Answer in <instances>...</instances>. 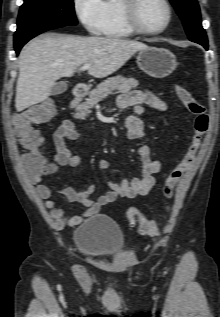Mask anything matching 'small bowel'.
Wrapping results in <instances>:
<instances>
[{
  "label": "small bowel",
  "mask_w": 220,
  "mask_h": 317,
  "mask_svg": "<svg viewBox=\"0 0 220 317\" xmlns=\"http://www.w3.org/2000/svg\"><path fill=\"white\" fill-rule=\"evenodd\" d=\"M144 105L159 111L166 109L165 102L149 90H131L122 94L118 99L120 108H133V113L126 118L125 122L129 139H140L144 135V124L140 118ZM65 139L73 141L79 139V133L70 120H65L53 134L56 148L53 161L45 163L40 170H35L26 164L25 156H22V163L29 174L30 182L34 186L37 195L45 201V206L50 210V217L56 229L77 225L85 218L98 213L103 206L119 198H135L147 195L154 187L155 175L160 170V162L152 158L150 148L147 145H141L137 150L141 162L140 177H134L130 181L126 179L121 181L110 180V191L99 196L97 200L92 199V195L96 191L95 186H88L82 191H77L72 187L63 188L62 192L70 201L79 202L86 207L81 215H67L63 208L56 206V200L52 197V190L44 184V178L56 173L59 168H75L81 164V157L72 154L67 149ZM98 167L106 171L110 167V161L102 159L98 162Z\"/></svg>",
  "instance_id": "small-bowel-1"
}]
</instances>
